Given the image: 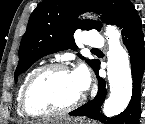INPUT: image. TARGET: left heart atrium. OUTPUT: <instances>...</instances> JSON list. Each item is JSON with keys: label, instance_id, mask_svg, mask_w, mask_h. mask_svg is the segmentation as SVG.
Returning a JSON list of instances; mask_svg holds the SVG:
<instances>
[{"label": "left heart atrium", "instance_id": "left-heart-atrium-1", "mask_svg": "<svg viewBox=\"0 0 145 124\" xmlns=\"http://www.w3.org/2000/svg\"><path fill=\"white\" fill-rule=\"evenodd\" d=\"M79 89L84 92L89 85V75L84 67H80L72 73Z\"/></svg>", "mask_w": 145, "mask_h": 124}]
</instances>
